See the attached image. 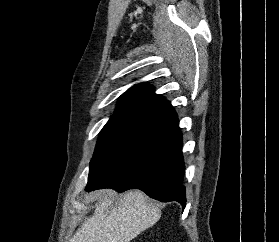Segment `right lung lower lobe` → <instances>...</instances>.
Returning a JSON list of instances; mask_svg holds the SVG:
<instances>
[{"instance_id":"right-lung-lower-lobe-1","label":"right lung lower lobe","mask_w":279,"mask_h":242,"mask_svg":"<svg viewBox=\"0 0 279 242\" xmlns=\"http://www.w3.org/2000/svg\"><path fill=\"white\" fill-rule=\"evenodd\" d=\"M161 118L162 124L154 136L101 179L88 180L86 190L113 188L123 192L140 189L162 202L177 201L184 209L185 165L178 117L173 111Z\"/></svg>"}]
</instances>
